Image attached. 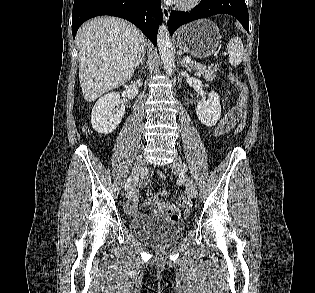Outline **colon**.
Instances as JSON below:
<instances>
[{"label":"colon","instance_id":"1","mask_svg":"<svg viewBox=\"0 0 315 293\" xmlns=\"http://www.w3.org/2000/svg\"><path fill=\"white\" fill-rule=\"evenodd\" d=\"M229 79L231 83L236 87V89L239 92L238 97V109L240 111L241 118L237 119V128H236V134H239L242 132L243 128L247 124V119L249 116L248 113V107H247V101L249 97V91L245 83L240 81L234 74L229 73ZM176 204L180 208H184L187 206V199L184 197H178L176 199Z\"/></svg>","mask_w":315,"mask_h":293}]
</instances>
